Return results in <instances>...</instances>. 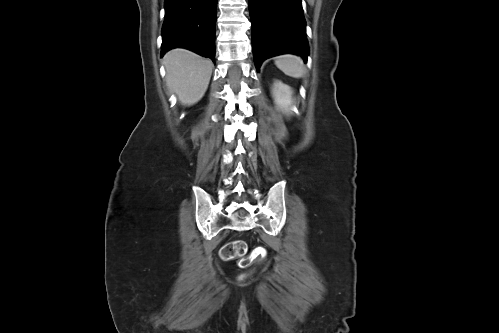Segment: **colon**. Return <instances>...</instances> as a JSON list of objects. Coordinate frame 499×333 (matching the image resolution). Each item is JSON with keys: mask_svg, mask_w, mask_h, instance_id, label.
Wrapping results in <instances>:
<instances>
[{"mask_svg": "<svg viewBox=\"0 0 499 333\" xmlns=\"http://www.w3.org/2000/svg\"><path fill=\"white\" fill-rule=\"evenodd\" d=\"M221 257L224 260L236 259L239 267H248L257 257H263L265 250H255L251 255L247 256V244L243 240H235L225 244L221 249Z\"/></svg>", "mask_w": 499, "mask_h": 333, "instance_id": "5ec220e1", "label": "colon"}]
</instances>
